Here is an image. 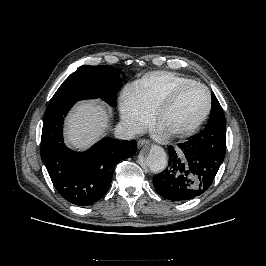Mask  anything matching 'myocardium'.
<instances>
[{"label": "myocardium", "instance_id": "1", "mask_svg": "<svg viewBox=\"0 0 266 266\" xmlns=\"http://www.w3.org/2000/svg\"><path fill=\"white\" fill-rule=\"evenodd\" d=\"M189 87H199L205 91L206 97H207L206 108H205L204 112L201 114V116L197 120H195L193 123H191L185 127H181V128H177V129H173L171 131H168V134H170V135H184V134H189L191 132H194L196 129H198L203 124V122L208 118V116L211 112L212 95H211L210 90L202 83H199L196 81H191V82L180 84V85L172 88L160 100V102L157 104V106L155 107V109L153 111L154 120L158 123L159 118H160L161 114L163 113V111L166 108H168L176 100V98L179 96V94L182 91H184L185 89H187Z\"/></svg>", "mask_w": 266, "mask_h": 266}]
</instances>
